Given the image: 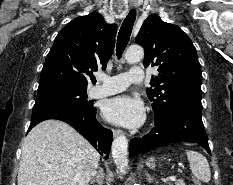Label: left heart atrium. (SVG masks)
<instances>
[{"label":"left heart atrium","instance_id":"left-heart-atrium-1","mask_svg":"<svg viewBox=\"0 0 233 185\" xmlns=\"http://www.w3.org/2000/svg\"><path fill=\"white\" fill-rule=\"evenodd\" d=\"M103 112L107 120L127 128L138 127L145 119L143 103L129 95L109 99L104 105Z\"/></svg>","mask_w":233,"mask_h":185}]
</instances>
